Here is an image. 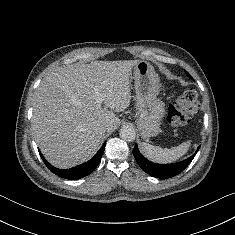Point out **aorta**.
I'll list each match as a JSON object with an SVG mask.
<instances>
[{
	"label": "aorta",
	"mask_w": 235,
	"mask_h": 235,
	"mask_svg": "<svg viewBox=\"0 0 235 235\" xmlns=\"http://www.w3.org/2000/svg\"><path fill=\"white\" fill-rule=\"evenodd\" d=\"M119 135H120L121 139H123L124 141L132 142L135 140L136 132H135L134 128H132L130 126H123L120 129Z\"/></svg>",
	"instance_id": "1"
}]
</instances>
